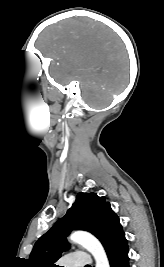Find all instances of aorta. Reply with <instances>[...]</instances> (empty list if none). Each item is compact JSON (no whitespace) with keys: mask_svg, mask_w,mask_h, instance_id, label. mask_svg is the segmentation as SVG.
I'll use <instances>...</instances> for the list:
<instances>
[{"mask_svg":"<svg viewBox=\"0 0 164 267\" xmlns=\"http://www.w3.org/2000/svg\"><path fill=\"white\" fill-rule=\"evenodd\" d=\"M70 240L80 244L95 259V267H109V261L101 243L90 233L77 231L70 235Z\"/></svg>","mask_w":164,"mask_h":267,"instance_id":"obj_1","label":"aorta"}]
</instances>
